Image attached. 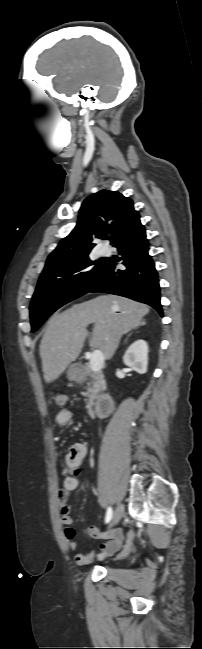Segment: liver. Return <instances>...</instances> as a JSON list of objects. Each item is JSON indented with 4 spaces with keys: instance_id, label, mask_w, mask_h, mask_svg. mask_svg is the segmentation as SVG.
I'll return each mask as SVG.
<instances>
[{
    "instance_id": "liver-1",
    "label": "liver",
    "mask_w": 202,
    "mask_h": 649,
    "mask_svg": "<svg viewBox=\"0 0 202 649\" xmlns=\"http://www.w3.org/2000/svg\"><path fill=\"white\" fill-rule=\"evenodd\" d=\"M148 312L145 304L125 297L102 295L54 315L40 343L45 381L56 380L77 359L89 324L94 323L89 345L100 350L104 359H110L121 336L136 327Z\"/></svg>"
}]
</instances>
